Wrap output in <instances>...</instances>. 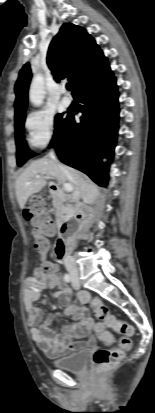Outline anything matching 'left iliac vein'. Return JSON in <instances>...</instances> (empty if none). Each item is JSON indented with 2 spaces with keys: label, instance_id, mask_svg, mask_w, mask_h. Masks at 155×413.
<instances>
[{
  "label": "left iliac vein",
  "instance_id": "1",
  "mask_svg": "<svg viewBox=\"0 0 155 413\" xmlns=\"http://www.w3.org/2000/svg\"><path fill=\"white\" fill-rule=\"evenodd\" d=\"M72 287L75 290H78L80 288V281H79L78 277H73L72 278Z\"/></svg>",
  "mask_w": 155,
  "mask_h": 413
}]
</instances>
